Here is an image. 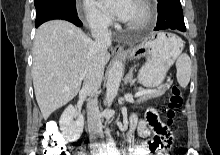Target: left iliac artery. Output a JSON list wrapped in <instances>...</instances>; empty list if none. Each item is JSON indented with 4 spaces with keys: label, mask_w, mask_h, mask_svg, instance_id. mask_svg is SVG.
Returning <instances> with one entry per match:
<instances>
[{
    "label": "left iliac artery",
    "mask_w": 220,
    "mask_h": 155,
    "mask_svg": "<svg viewBox=\"0 0 220 155\" xmlns=\"http://www.w3.org/2000/svg\"><path fill=\"white\" fill-rule=\"evenodd\" d=\"M111 155H121L117 148H113Z\"/></svg>",
    "instance_id": "obj_1"
}]
</instances>
